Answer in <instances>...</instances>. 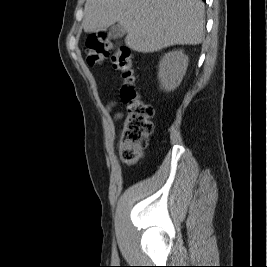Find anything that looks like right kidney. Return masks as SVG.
Segmentation results:
<instances>
[{"mask_svg": "<svg viewBox=\"0 0 267 267\" xmlns=\"http://www.w3.org/2000/svg\"><path fill=\"white\" fill-rule=\"evenodd\" d=\"M188 56L182 50H174L163 56L159 62L158 79L161 89L171 91L176 89L186 73Z\"/></svg>", "mask_w": 267, "mask_h": 267, "instance_id": "ca27d5eb", "label": "right kidney"}]
</instances>
